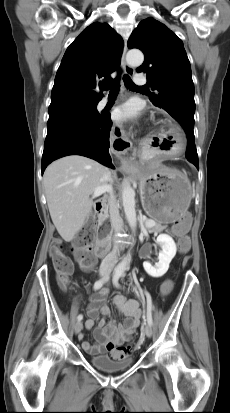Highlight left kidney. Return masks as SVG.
Wrapping results in <instances>:
<instances>
[{
	"mask_svg": "<svg viewBox=\"0 0 230 413\" xmlns=\"http://www.w3.org/2000/svg\"><path fill=\"white\" fill-rule=\"evenodd\" d=\"M156 242L162 248L159 253V262L155 266H152L149 262H144L143 267L150 276L158 278L168 271L169 264L176 255L177 248L173 238L167 234H160Z\"/></svg>",
	"mask_w": 230,
	"mask_h": 413,
	"instance_id": "left-kidney-1",
	"label": "left kidney"
}]
</instances>
